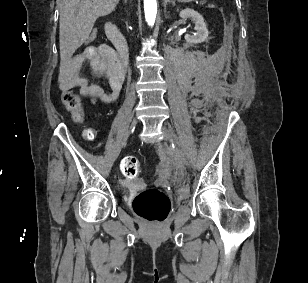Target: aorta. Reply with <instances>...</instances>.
Masks as SVG:
<instances>
[{
	"instance_id": "1",
	"label": "aorta",
	"mask_w": 308,
	"mask_h": 283,
	"mask_svg": "<svg viewBox=\"0 0 308 283\" xmlns=\"http://www.w3.org/2000/svg\"><path fill=\"white\" fill-rule=\"evenodd\" d=\"M144 12L148 25L153 26L157 15L156 0H144Z\"/></svg>"
}]
</instances>
